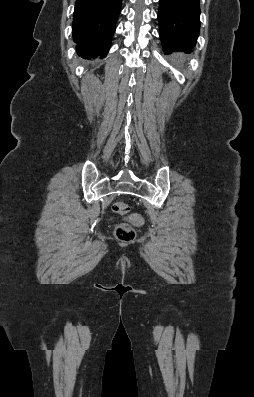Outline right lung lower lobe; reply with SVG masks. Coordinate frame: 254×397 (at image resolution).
<instances>
[{
  "label": "right lung lower lobe",
  "instance_id": "98d812e1",
  "mask_svg": "<svg viewBox=\"0 0 254 397\" xmlns=\"http://www.w3.org/2000/svg\"><path fill=\"white\" fill-rule=\"evenodd\" d=\"M122 0H76L73 39L85 58L105 57L110 49Z\"/></svg>",
  "mask_w": 254,
  "mask_h": 397
}]
</instances>
